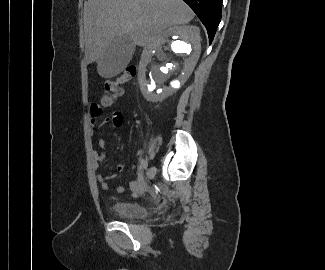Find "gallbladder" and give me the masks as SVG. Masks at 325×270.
Segmentation results:
<instances>
[{"label":"gallbladder","mask_w":325,"mask_h":270,"mask_svg":"<svg viewBox=\"0 0 325 270\" xmlns=\"http://www.w3.org/2000/svg\"><path fill=\"white\" fill-rule=\"evenodd\" d=\"M134 51L135 46L129 36L115 37L99 60V71L107 78L118 75L130 62Z\"/></svg>","instance_id":"bac80fb5"}]
</instances>
